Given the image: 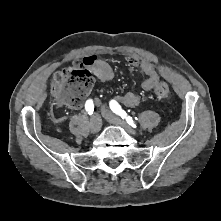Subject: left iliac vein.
I'll return each mask as SVG.
<instances>
[{
	"label": "left iliac vein",
	"mask_w": 221,
	"mask_h": 221,
	"mask_svg": "<svg viewBox=\"0 0 221 221\" xmlns=\"http://www.w3.org/2000/svg\"><path fill=\"white\" fill-rule=\"evenodd\" d=\"M102 116L111 124L124 128L128 133L136 135V132L123 120L117 117L108 107L102 106Z\"/></svg>",
	"instance_id": "4c4485c4"
}]
</instances>
